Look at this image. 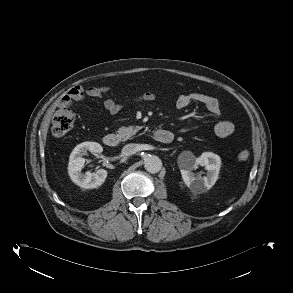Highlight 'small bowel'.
Returning <instances> with one entry per match:
<instances>
[{
	"mask_svg": "<svg viewBox=\"0 0 293 293\" xmlns=\"http://www.w3.org/2000/svg\"><path fill=\"white\" fill-rule=\"evenodd\" d=\"M110 90L111 88L109 86H76L70 89L61 98L59 106L70 107L74 102L83 101L88 97L102 98L106 96ZM154 99L155 93L152 91H146L134 97H127L124 100H115L111 97H107L103 102V106L109 114L116 115L122 110L124 101L130 103H144L153 101ZM193 102L203 104L212 115L216 117L221 116L222 111L218 99L200 92L180 95L176 101V106L179 109H184L190 106ZM234 130V123L228 119H220L214 126V133L219 138L229 137L233 134Z\"/></svg>",
	"mask_w": 293,
	"mask_h": 293,
	"instance_id": "obj_1",
	"label": "small bowel"
}]
</instances>
